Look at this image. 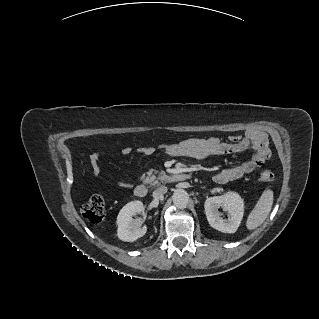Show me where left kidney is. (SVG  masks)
Masks as SVG:
<instances>
[{
	"label": "left kidney",
	"mask_w": 319,
	"mask_h": 319,
	"mask_svg": "<svg viewBox=\"0 0 319 319\" xmlns=\"http://www.w3.org/2000/svg\"><path fill=\"white\" fill-rule=\"evenodd\" d=\"M204 208L209 225L223 233H235L244 214L243 199L238 193L232 191L207 198ZM219 208L229 214L228 219L222 218Z\"/></svg>",
	"instance_id": "left-kidney-1"
}]
</instances>
